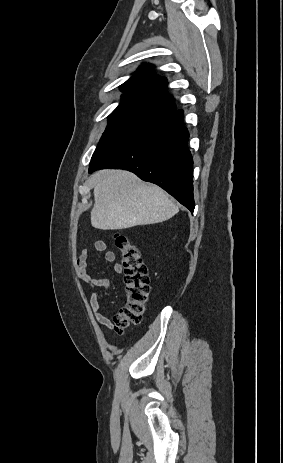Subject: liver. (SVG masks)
<instances>
[{
  "label": "liver",
  "instance_id": "obj_1",
  "mask_svg": "<svg viewBox=\"0 0 283 463\" xmlns=\"http://www.w3.org/2000/svg\"><path fill=\"white\" fill-rule=\"evenodd\" d=\"M94 207L91 225L101 230H120L166 221L179 208L156 185L144 183L133 173L106 169L94 174Z\"/></svg>",
  "mask_w": 283,
  "mask_h": 463
}]
</instances>
